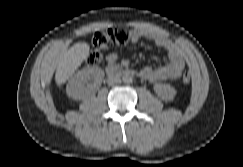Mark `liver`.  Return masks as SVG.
I'll return each mask as SVG.
<instances>
[{
  "instance_id": "liver-1",
  "label": "liver",
  "mask_w": 243,
  "mask_h": 167,
  "mask_svg": "<svg viewBox=\"0 0 243 167\" xmlns=\"http://www.w3.org/2000/svg\"><path fill=\"white\" fill-rule=\"evenodd\" d=\"M89 45L85 42L75 43L63 54L56 68L55 82L58 86L65 83L89 55Z\"/></svg>"
}]
</instances>
